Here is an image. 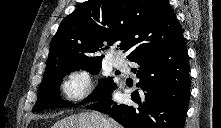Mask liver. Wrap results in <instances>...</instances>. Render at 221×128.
I'll list each match as a JSON object with an SVG mask.
<instances>
[{"mask_svg":"<svg viewBox=\"0 0 221 128\" xmlns=\"http://www.w3.org/2000/svg\"><path fill=\"white\" fill-rule=\"evenodd\" d=\"M104 120L107 125H104ZM122 128L114 120L97 112H85L71 115L56 122L52 128Z\"/></svg>","mask_w":221,"mask_h":128,"instance_id":"1","label":"liver"}]
</instances>
